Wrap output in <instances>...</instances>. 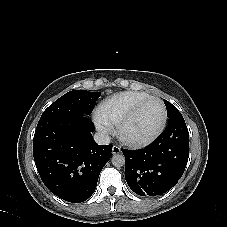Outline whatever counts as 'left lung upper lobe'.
Wrapping results in <instances>:
<instances>
[{"mask_svg":"<svg viewBox=\"0 0 227 227\" xmlns=\"http://www.w3.org/2000/svg\"><path fill=\"white\" fill-rule=\"evenodd\" d=\"M164 103L166 105L167 108V116L169 118V120H171L172 118L180 115L181 113L177 110L176 107H174L170 102H168L167 100L164 99Z\"/></svg>","mask_w":227,"mask_h":227,"instance_id":"5c2ea615","label":"left lung upper lobe"}]
</instances>
